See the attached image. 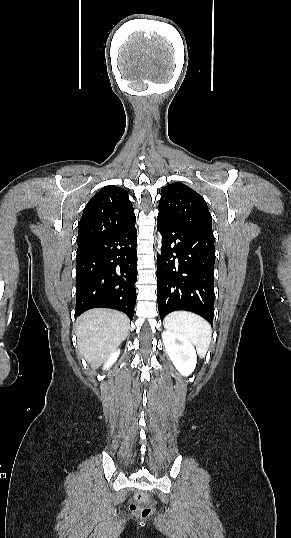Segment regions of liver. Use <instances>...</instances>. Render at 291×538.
Instances as JSON below:
<instances>
[{
  "mask_svg": "<svg viewBox=\"0 0 291 538\" xmlns=\"http://www.w3.org/2000/svg\"><path fill=\"white\" fill-rule=\"evenodd\" d=\"M130 320L118 311L92 309L77 318V345L82 357L98 367L129 334Z\"/></svg>",
  "mask_w": 291,
  "mask_h": 538,
  "instance_id": "obj_1",
  "label": "liver"
}]
</instances>
